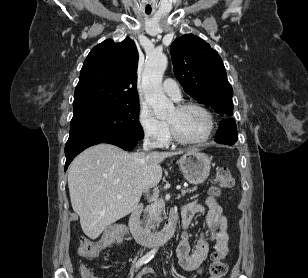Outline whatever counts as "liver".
Instances as JSON below:
<instances>
[{
    "instance_id": "liver-1",
    "label": "liver",
    "mask_w": 308,
    "mask_h": 278,
    "mask_svg": "<svg viewBox=\"0 0 308 278\" xmlns=\"http://www.w3.org/2000/svg\"><path fill=\"white\" fill-rule=\"evenodd\" d=\"M181 153H127L103 143L79 154L68 169V187L83 232L96 239L108 225L133 212L142 193L160 182V163Z\"/></svg>"
}]
</instances>
